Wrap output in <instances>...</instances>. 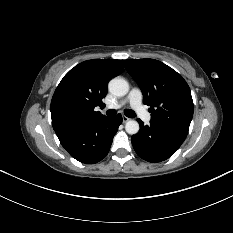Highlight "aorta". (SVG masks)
I'll list each match as a JSON object with an SVG mask.
<instances>
[{"instance_id":"1","label":"aorta","mask_w":233,"mask_h":233,"mask_svg":"<svg viewBox=\"0 0 233 233\" xmlns=\"http://www.w3.org/2000/svg\"><path fill=\"white\" fill-rule=\"evenodd\" d=\"M108 89L113 95L122 97L128 93L129 84L125 79L116 77L110 80L108 84ZM139 129V124L135 120H129L125 125V130L130 135L137 134L139 132Z\"/></svg>"}]
</instances>
